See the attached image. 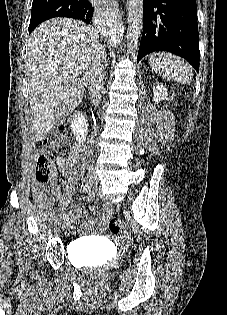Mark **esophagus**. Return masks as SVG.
I'll return each instance as SVG.
<instances>
[{
	"mask_svg": "<svg viewBox=\"0 0 227 315\" xmlns=\"http://www.w3.org/2000/svg\"><path fill=\"white\" fill-rule=\"evenodd\" d=\"M109 10L111 11V13L116 14V17L120 18V15L118 14L119 11H118L117 6L114 5V7H111Z\"/></svg>",
	"mask_w": 227,
	"mask_h": 315,
	"instance_id": "34e87169",
	"label": "esophagus"
}]
</instances>
